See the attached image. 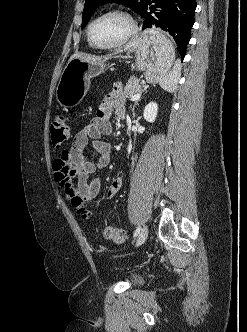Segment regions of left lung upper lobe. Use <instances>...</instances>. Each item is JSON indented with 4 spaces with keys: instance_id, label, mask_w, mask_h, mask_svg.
<instances>
[{
    "instance_id": "5c2ea615",
    "label": "left lung upper lobe",
    "mask_w": 247,
    "mask_h": 332,
    "mask_svg": "<svg viewBox=\"0 0 247 332\" xmlns=\"http://www.w3.org/2000/svg\"><path fill=\"white\" fill-rule=\"evenodd\" d=\"M109 2L120 3L131 8L139 14L142 12L145 6V0H86L83 10V21L81 29H83L87 25L91 15L100 5Z\"/></svg>"
}]
</instances>
